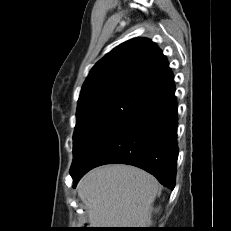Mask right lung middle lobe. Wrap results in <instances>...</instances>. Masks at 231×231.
<instances>
[{
  "label": "right lung middle lobe",
  "instance_id": "dd1d6c3e",
  "mask_svg": "<svg viewBox=\"0 0 231 231\" xmlns=\"http://www.w3.org/2000/svg\"><path fill=\"white\" fill-rule=\"evenodd\" d=\"M145 101L131 94L100 97L77 109L73 135V163L78 168L88 155L117 127L134 115Z\"/></svg>",
  "mask_w": 231,
  "mask_h": 231
}]
</instances>
